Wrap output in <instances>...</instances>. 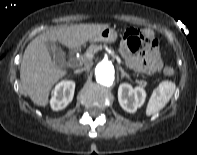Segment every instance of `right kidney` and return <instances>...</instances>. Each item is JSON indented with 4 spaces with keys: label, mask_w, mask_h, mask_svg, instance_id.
Listing matches in <instances>:
<instances>
[{
    "label": "right kidney",
    "mask_w": 197,
    "mask_h": 155,
    "mask_svg": "<svg viewBox=\"0 0 197 155\" xmlns=\"http://www.w3.org/2000/svg\"><path fill=\"white\" fill-rule=\"evenodd\" d=\"M74 91V81L63 80L59 82L52 91L51 108L55 111L64 109L72 101Z\"/></svg>",
    "instance_id": "1"
}]
</instances>
